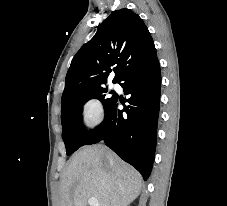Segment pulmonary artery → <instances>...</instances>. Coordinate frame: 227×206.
<instances>
[{
    "label": "pulmonary artery",
    "mask_w": 227,
    "mask_h": 206,
    "mask_svg": "<svg viewBox=\"0 0 227 206\" xmlns=\"http://www.w3.org/2000/svg\"><path fill=\"white\" fill-rule=\"evenodd\" d=\"M113 88H114V89H119V88H120V86H119V84L114 83V84H113Z\"/></svg>",
    "instance_id": "e3ab8cb5"
}]
</instances>
